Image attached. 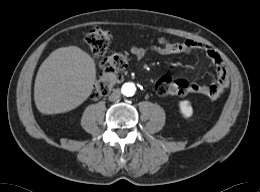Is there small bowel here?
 Here are the masks:
<instances>
[{
	"instance_id": "small-bowel-1",
	"label": "small bowel",
	"mask_w": 260,
	"mask_h": 192,
	"mask_svg": "<svg viewBox=\"0 0 260 192\" xmlns=\"http://www.w3.org/2000/svg\"><path fill=\"white\" fill-rule=\"evenodd\" d=\"M202 52L212 62L216 69V80L209 85L200 84L196 81L189 83V92L200 94L210 99L219 98L230 85V73L220 55L211 47L198 41L187 39L182 42H172L163 37L151 42L149 47L133 46L131 54L137 60H141L149 53L158 55L190 54Z\"/></svg>"
}]
</instances>
